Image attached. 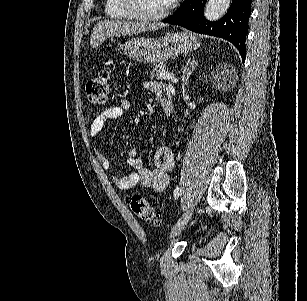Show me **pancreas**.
Wrapping results in <instances>:
<instances>
[{
  "mask_svg": "<svg viewBox=\"0 0 307 301\" xmlns=\"http://www.w3.org/2000/svg\"><path fill=\"white\" fill-rule=\"evenodd\" d=\"M162 72H169V68H167L166 64H155L154 68L149 70V74H151L152 78H164ZM167 80V78H165Z\"/></svg>",
  "mask_w": 307,
  "mask_h": 301,
  "instance_id": "cf45deb5",
  "label": "pancreas"
}]
</instances>
